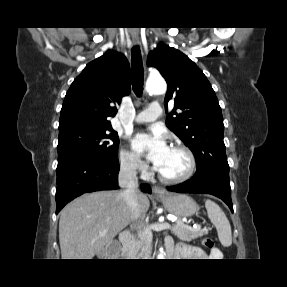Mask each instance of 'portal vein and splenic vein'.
<instances>
[{
	"mask_svg": "<svg viewBox=\"0 0 287 287\" xmlns=\"http://www.w3.org/2000/svg\"><path fill=\"white\" fill-rule=\"evenodd\" d=\"M168 220L172 221V222H177V219L176 218H173V217H168ZM179 223H182L184 224V221H181ZM199 228V227H198Z\"/></svg>",
	"mask_w": 287,
	"mask_h": 287,
	"instance_id": "portal-vein-and-splenic-vein-1",
	"label": "portal vein and splenic vein"
}]
</instances>
